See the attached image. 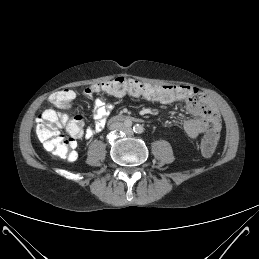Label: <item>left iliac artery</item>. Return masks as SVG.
<instances>
[{
	"label": "left iliac artery",
	"instance_id": "obj_1",
	"mask_svg": "<svg viewBox=\"0 0 259 259\" xmlns=\"http://www.w3.org/2000/svg\"><path fill=\"white\" fill-rule=\"evenodd\" d=\"M133 130L135 133L137 134H142L144 132V127L140 124H136L134 127H133Z\"/></svg>",
	"mask_w": 259,
	"mask_h": 259
}]
</instances>
